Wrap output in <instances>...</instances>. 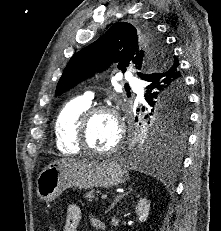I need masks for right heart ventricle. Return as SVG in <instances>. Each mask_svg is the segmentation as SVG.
Instances as JSON below:
<instances>
[{
  "label": "right heart ventricle",
  "mask_w": 221,
  "mask_h": 231,
  "mask_svg": "<svg viewBox=\"0 0 221 231\" xmlns=\"http://www.w3.org/2000/svg\"><path fill=\"white\" fill-rule=\"evenodd\" d=\"M90 107V103L82 98L67 102L58 113L54 132L58 150L66 155L78 153L81 149L76 143L77 122Z\"/></svg>",
  "instance_id": "1"
}]
</instances>
